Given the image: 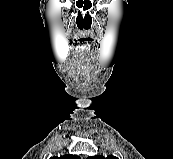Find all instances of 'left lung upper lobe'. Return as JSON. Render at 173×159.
Listing matches in <instances>:
<instances>
[{"label": "left lung upper lobe", "instance_id": "1", "mask_svg": "<svg viewBox=\"0 0 173 159\" xmlns=\"http://www.w3.org/2000/svg\"><path fill=\"white\" fill-rule=\"evenodd\" d=\"M87 159H118V158L113 155H109L106 158L104 156H92L88 157Z\"/></svg>", "mask_w": 173, "mask_h": 159}]
</instances>
